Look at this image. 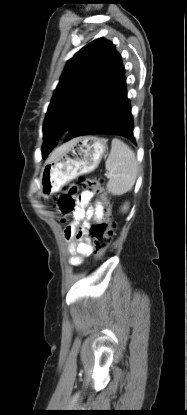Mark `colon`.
I'll return each mask as SVG.
<instances>
[{"label":"colon","mask_w":187,"mask_h":415,"mask_svg":"<svg viewBox=\"0 0 187 415\" xmlns=\"http://www.w3.org/2000/svg\"><path fill=\"white\" fill-rule=\"evenodd\" d=\"M83 187L89 188L93 193L98 195L104 203V217L94 223L89 233L93 240V253L95 258H102L109 248L115 234L116 222L111 218V209L105 188L97 179L82 178L80 180ZM77 186H71L65 193L60 196L59 209L64 215H68L77 207L75 198Z\"/></svg>","instance_id":"5ec220e1"}]
</instances>
